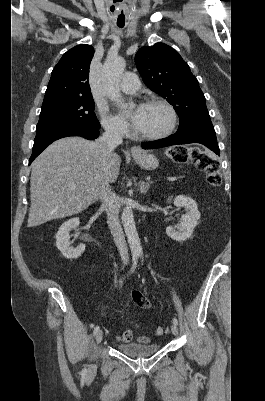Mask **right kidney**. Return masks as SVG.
<instances>
[{"label":"right kidney","mask_w":265,"mask_h":401,"mask_svg":"<svg viewBox=\"0 0 265 401\" xmlns=\"http://www.w3.org/2000/svg\"><path fill=\"white\" fill-rule=\"evenodd\" d=\"M79 223L80 219H78V217H75V219H69V221H65V223L61 225L58 233H56V247L61 251L63 257H66V259H77V257H80V255L85 251V245H79L76 249L70 247L71 241L69 233L71 229L79 227Z\"/></svg>","instance_id":"right-kidney-1"}]
</instances>
